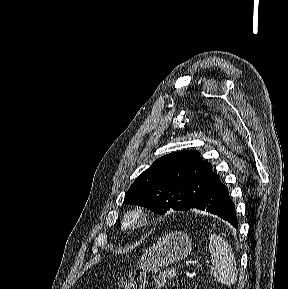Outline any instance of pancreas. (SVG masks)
I'll return each instance as SVG.
<instances>
[{
	"label": "pancreas",
	"mask_w": 288,
	"mask_h": 289,
	"mask_svg": "<svg viewBox=\"0 0 288 289\" xmlns=\"http://www.w3.org/2000/svg\"><path fill=\"white\" fill-rule=\"evenodd\" d=\"M172 273H173V270H165L159 274V277L155 279V285L157 289H160L166 285L169 278H171Z\"/></svg>",
	"instance_id": "cf45deb5"
}]
</instances>
